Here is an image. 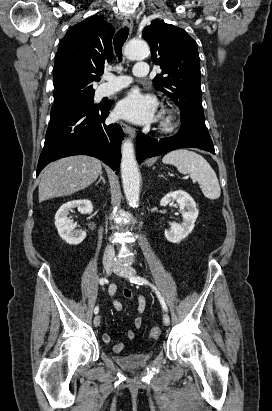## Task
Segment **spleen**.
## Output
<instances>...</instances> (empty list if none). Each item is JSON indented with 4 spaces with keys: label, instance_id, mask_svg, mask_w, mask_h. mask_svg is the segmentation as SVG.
I'll return each instance as SVG.
<instances>
[{
    "label": "spleen",
    "instance_id": "1",
    "mask_svg": "<svg viewBox=\"0 0 272 411\" xmlns=\"http://www.w3.org/2000/svg\"><path fill=\"white\" fill-rule=\"evenodd\" d=\"M162 162L174 165L181 174H189L191 179L198 181L205 197L216 200L221 189L216 173L210 164L196 152L180 149L166 154Z\"/></svg>",
    "mask_w": 272,
    "mask_h": 411
}]
</instances>
